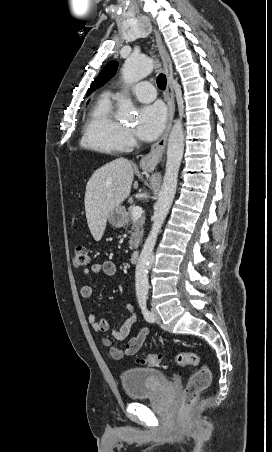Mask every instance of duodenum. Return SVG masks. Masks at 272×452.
<instances>
[{"instance_id":"1","label":"duodenum","mask_w":272,"mask_h":452,"mask_svg":"<svg viewBox=\"0 0 272 452\" xmlns=\"http://www.w3.org/2000/svg\"><path fill=\"white\" fill-rule=\"evenodd\" d=\"M139 258V250L135 249L130 254V260L132 263H136Z\"/></svg>"}]
</instances>
